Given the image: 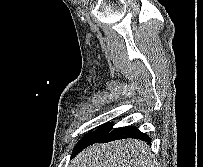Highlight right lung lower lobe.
I'll use <instances>...</instances> for the list:
<instances>
[{
  "mask_svg": "<svg viewBox=\"0 0 203 167\" xmlns=\"http://www.w3.org/2000/svg\"><path fill=\"white\" fill-rule=\"evenodd\" d=\"M126 138H135V139L150 141L149 136L142 133L141 131H139L136 127L126 126V127L116 128V129L108 132L104 136H102L100 138H96L95 140H93L90 143L86 144L83 148H85V147H87V146H89V145H91V144H93L95 142H97V143H105V142H110V141H113V140L126 139ZM74 156L75 155H72V157H74Z\"/></svg>",
  "mask_w": 203,
  "mask_h": 167,
  "instance_id": "right-lung-lower-lobe-1",
  "label": "right lung lower lobe"
}]
</instances>
